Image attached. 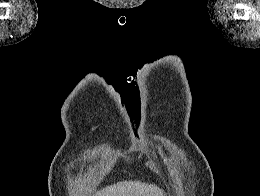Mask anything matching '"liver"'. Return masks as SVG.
I'll use <instances>...</instances> for the list:
<instances>
[{
    "mask_svg": "<svg viewBox=\"0 0 260 196\" xmlns=\"http://www.w3.org/2000/svg\"><path fill=\"white\" fill-rule=\"evenodd\" d=\"M95 196H166V194L154 184L129 180V182H117L113 186H107L96 192Z\"/></svg>",
    "mask_w": 260,
    "mask_h": 196,
    "instance_id": "obj_1",
    "label": "liver"
}]
</instances>
